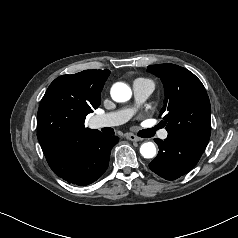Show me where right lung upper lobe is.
<instances>
[{
	"mask_svg": "<svg viewBox=\"0 0 238 238\" xmlns=\"http://www.w3.org/2000/svg\"><path fill=\"white\" fill-rule=\"evenodd\" d=\"M109 70L62 75L48 87L38 109L37 137L45 156L59 151L76 134L89 130L86 116L97 109Z\"/></svg>",
	"mask_w": 238,
	"mask_h": 238,
	"instance_id": "cb5924a9",
	"label": "right lung upper lobe"
}]
</instances>
